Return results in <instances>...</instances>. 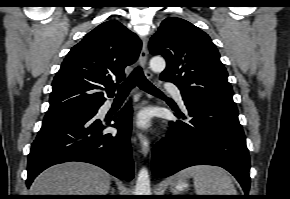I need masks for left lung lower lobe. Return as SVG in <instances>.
I'll use <instances>...</instances> for the list:
<instances>
[{
	"mask_svg": "<svg viewBox=\"0 0 290 199\" xmlns=\"http://www.w3.org/2000/svg\"><path fill=\"white\" fill-rule=\"evenodd\" d=\"M184 103L190 119L170 122L167 138L155 145L154 176L168 177L194 165H216L236 177L248 198L250 160L238 111L198 99H184Z\"/></svg>",
	"mask_w": 290,
	"mask_h": 199,
	"instance_id": "1",
	"label": "left lung lower lobe"
}]
</instances>
